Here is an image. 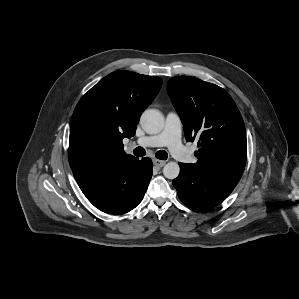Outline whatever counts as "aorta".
Segmentation results:
<instances>
[{
  "mask_svg": "<svg viewBox=\"0 0 299 299\" xmlns=\"http://www.w3.org/2000/svg\"><path fill=\"white\" fill-rule=\"evenodd\" d=\"M140 124L146 133L158 134L164 128V116L157 109H147L141 115ZM179 172L180 167L176 162H168L163 168V174L167 179L177 178Z\"/></svg>",
  "mask_w": 299,
  "mask_h": 299,
  "instance_id": "762f6f07",
  "label": "aorta"
}]
</instances>
